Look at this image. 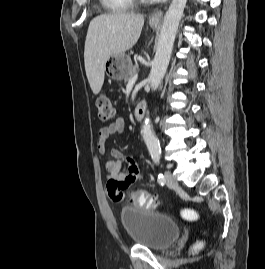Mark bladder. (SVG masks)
I'll return each instance as SVG.
<instances>
[{
	"label": "bladder",
	"instance_id": "obj_1",
	"mask_svg": "<svg viewBox=\"0 0 265 269\" xmlns=\"http://www.w3.org/2000/svg\"><path fill=\"white\" fill-rule=\"evenodd\" d=\"M119 219L135 245L155 251L169 248L181 233L180 225L170 217L141 208L123 207Z\"/></svg>",
	"mask_w": 265,
	"mask_h": 269
}]
</instances>
